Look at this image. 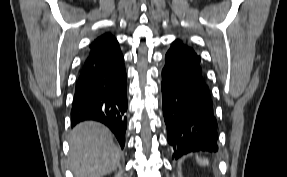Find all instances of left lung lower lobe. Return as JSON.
Returning a JSON list of instances; mask_svg holds the SVG:
<instances>
[{"instance_id": "left-lung-lower-lobe-1", "label": "left lung lower lobe", "mask_w": 287, "mask_h": 177, "mask_svg": "<svg viewBox=\"0 0 287 177\" xmlns=\"http://www.w3.org/2000/svg\"><path fill=\"white\" fill-rule=\"evenodd\" d=\"M165 61L162 106L173 158L195 151H217V123L201 58L175 40Z\"/></svg>"}]
</instances>
